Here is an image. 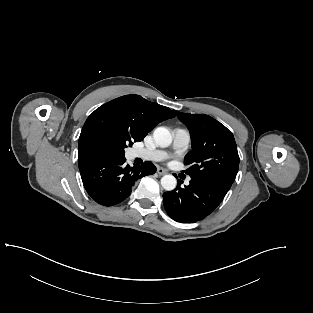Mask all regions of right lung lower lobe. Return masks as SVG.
Segmentation results:
<instances>
[{"instance_id": "right-lung-lower-lobe-1", "label": "right lung lower lobe", "mask_w": 313, "mask_h": 313, "mask_svg": "<svg viewBox=\"0 0 313 313\" xmlns=\"http://www.w3.org/2000/svg\"><path fill=\"white\" fill-rule=\"evenodd\" d=\"M125 157H97L79 163L83 185L90 197L104 206H112L125 200L135 182L154 174L151 162L130 167Z\"/></svg>"}]
</instances>
